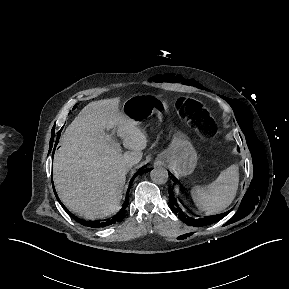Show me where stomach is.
<instances>
[{"mask_svg": "<svg viewBox=\"0 0 289 289\" xmlns=\"http://www.w3.org/2000/svg\"><path fill=\"white\" fill-rule=\"evenodd\" d=\"M167 110L168 106L164 101L149 95L132 96L123 103L122 107V112L137 123L153 114L161 115ZM166 158L175 171L182 176L191 174L198 160L196 150L184 134H176L173 137Z\"/></svg>", "mask_w": 289, "mask_h": 289, "instance_id": "1", "label": "stomach"}]
</instances>
